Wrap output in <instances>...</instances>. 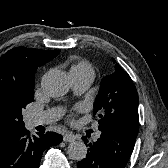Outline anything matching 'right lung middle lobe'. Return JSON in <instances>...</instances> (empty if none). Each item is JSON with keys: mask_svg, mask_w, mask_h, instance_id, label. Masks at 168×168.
<instances>
[{"mask_svg": "<svg viewBox=\"0 0 168 168\" xmlns=\"http://www.w3.org/2000/svg\"><path fill=\"white\" fill-rule=\"evenodd\" d=\"M33 96L34 84L18 91L14 102L3 112V117L9 125L17 129L25 127L22 117V109L25 108L28 103L33 101Z\"/></svg>", "mask_w": 168, "mask_h": 168, "instance_id": "dd1d6c3e", "label": "right lung middle lobe"}]
</instances>
